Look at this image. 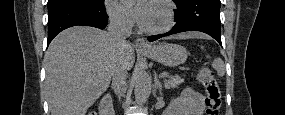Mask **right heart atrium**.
<instances>
[{
  "mask_svg": "<svg viewBox=\"0 0 285 115\" xmlns=\"http://www.w3.org/2000/svg\"><path fill=\"white\" fill-rule=\"evenodd\" d=\"M106 9L110 19L120 26L130 27L133 24V18L128 9L117 1H106Z\"/></svg>",
  "mask_w": 285,
  "mask_h": 115,
  "instance_id": "d8ad5b80",
  "label": "right heart atrium"
}]
</instances>
